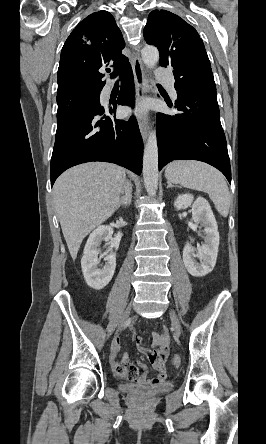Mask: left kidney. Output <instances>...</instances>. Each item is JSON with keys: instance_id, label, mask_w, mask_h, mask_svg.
Returning a JSON list of instances; mask_svg holds the SVG:
<instances>
[{"instance_id": "left-kidney-1", "label": "left kidney", "mask_w": 266, "mask_h": 444, "mask_svg": "<svg viewBox=\"0 0 266 444\" xmlns=\"http://www.w3.org/2000/svg\"><path fill=\"white\" fill-rule=\"evenodd\" d=\"M191 205L195 224L204 228V244L196 251L187 242L183 249V262L192 276L203 277L210 273L216 264L219 247L218 225L212 209L205 198L198 197L194 201L193 195L186 193L179 195L174 201V207L177 210L186 209ZM195 257L199 258L200 263L195 260Z\"/></svg>"}]
</instances>
